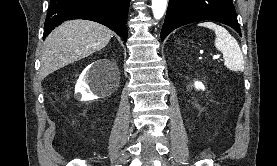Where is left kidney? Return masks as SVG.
<instances>
[{"label":"left kidney","mask_w":277,"mask_h":166,"mask_svg":"<svg viewBox=\"0 0 277 166\" xmlns=\"http://www.w3.org/2000/svg\"><path fill=\"white\" fill-rule=\"evenodd\" d=\"M195 87L197 88V89H203L204 90V85L201 83V82H195Z\"/></svg>","instance_id":"1"}]
</instances>
